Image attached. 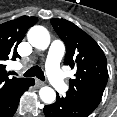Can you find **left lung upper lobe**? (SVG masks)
Wrapping results in <instances>:
<instances>
[{"label":"left lung upper lobe","instance_id":"1","mask_svg":"<svg viewBox=\"0 0 117 117\" xmlns=\"http://www.w3.org/2000/svg\"><path fill=\"white\" fill-rule=\"evenodd\" d=\"M50 22L65 43L64 64L76 70L75 78L69 80L66 95L93 112L108 81L105 54L96 41L74 23L58 18Z\"/></svg>","mask_w":117,"mask_h":117}]
</instances>
